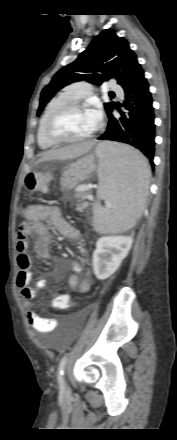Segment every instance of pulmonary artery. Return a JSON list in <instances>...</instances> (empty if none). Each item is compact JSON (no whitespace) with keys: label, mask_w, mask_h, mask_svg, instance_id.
Returning a JSON list of instances; mask_svg holds the SVG:
<instances>
[{"label":"pulmonary artery","mask_w":177,"mask_h":440,"mask_svg":"<svg viewBox=\"0 0 177 440\" xmlns=\"http://www.w3.org/2000/svg\"><path fill=\"white\" fill-rule=\"evenodd\" d=\"M109 87L113 92L122 95V88L116 83H111ZM67 91L74 99H81L91 94V86L88 83H79L70 87Z\"/></svg>","instance_id":"1"}]
</instances>
